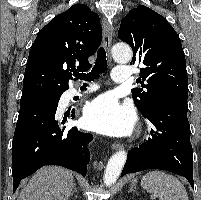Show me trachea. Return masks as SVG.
Wrapping results in <instances>:
<instances>
[{"instance_id":"1","label":"trachea","mask_w":201,"mask_h":200,"mask_svg":"<svg viewBox=\"0 0 201 200\" xmlns=\"http://www.w3.org/2000/svg\"><path fill=\"white\" fill-rule=\"evenodd\" d=\"M107 69V60H106V52L103 47H100L97 51V59L94 67L91 72L88 74L85 73H75L74 76L77 79L84 80L86 82H91L96 79L99 74H103ZM87 83H83V86H86Z\"/></svg>"}]
</instances>
